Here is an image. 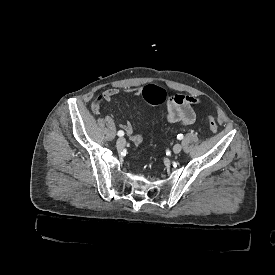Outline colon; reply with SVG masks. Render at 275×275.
Masks as SVG:
<instances>
[{
	"instance_id": "5ec220e1",
	"label": "colon",
	"mask_w": 275,
	"mask_h": 275,
	"mask_svg": "<svg viewBox=\"0 0 275 275\" xmlns=\"http://www.w3.org/2000/svg\"><path fill=\"white\" fill-rule=\"evenodd\" d=\"M140 95L142 98L146 99L149 103L148 106H151V103L155 105H160L163 101L166 100L167 94L160 87L155 84L149 83L144 89L141 90ZM208 126L211 132L216 133L218 130V124L216 120L210 116L208 118ZM142 137H145V132H135L130 140L134 142L136 145H139L142 142Z\"/></svg>"
}]
</instances>
